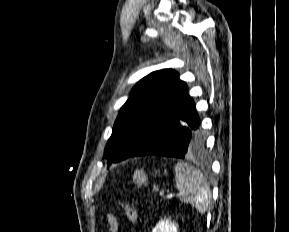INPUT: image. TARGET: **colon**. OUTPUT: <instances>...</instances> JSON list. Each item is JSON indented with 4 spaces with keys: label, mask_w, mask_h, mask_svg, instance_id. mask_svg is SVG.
<instances>
[{
    "label": "colon",
    "mask_w": 289,
    "mask_h": 232,
    "mask_svg": "<svg viewBox=\"0 0 289 232\" xmlns=\"http://www.w3.org/2000/svg\"><path fill=\"white\" fill-rule=\"evenodd\" d=\"M117 204L125 210L127 218L132 224L137 222V211L136 208L126 201H117ZM106 220L109 226V232H118L119 220L118 215L113 210H108L106 213Z\"/></svg>",
    "instance_id": "obj_1"
}]
</instances>
